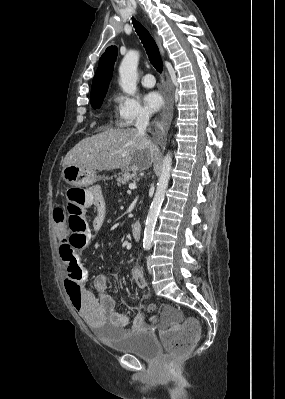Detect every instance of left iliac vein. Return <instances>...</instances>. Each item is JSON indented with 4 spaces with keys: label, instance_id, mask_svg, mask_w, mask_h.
Wrapping results in <instances>:
<instances>
[{
    "label": "left iliac vein",
    "instance_id": "obj_1",
    "mask_svg": "<svg viewBox=\"0 0 285 399\" xmlns=\"http://www.w3.org/2000/svg\"><path fill=\"white\" fill-rule=\"evenodd\" d=\"M151 263H152L151 257L149 256V257L147 258V269H148V272H149L150 274L153 273V269H152Z\"/></svg>",
    "mask_w": 285,
    "mask_h": 399
}]
</instances>
